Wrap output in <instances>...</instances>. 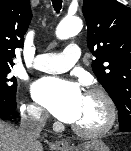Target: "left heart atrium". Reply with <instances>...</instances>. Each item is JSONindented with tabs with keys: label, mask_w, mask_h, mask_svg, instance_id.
I'll use <instances>...</instances> for the list:
<instances>
[{
	"label": "left heart atrium",
	"mask_w": 131,
	"mask_h": 151,
	"mask_svg": "<svg viewBox=\"0 0 131 151\" xmlns=\"http://www.w3.org/2000/svg\"><path fill=\"white\" fill-rule=\"evenodd\" d=\"M31 91L35 101L61 121L74 123L78 119L84 98L78 84L44 77L32 85Z\"/></svg>",
	"instance_id": "left-heart-atrium-1"
}]
</instances>
